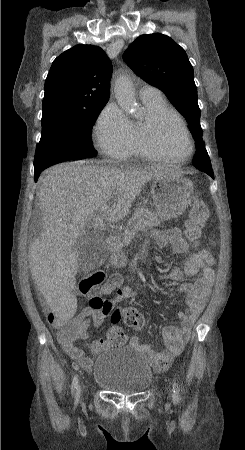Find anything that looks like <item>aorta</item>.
<instances>
[{
    "label": "aorta",
    "mask_w": 245,
    "mask_h": 450,
    "mask_svg": "<svg viewBox=\"0 0 245 450\" xmlns=\"http://www.w3.org/2000/svg\"><path fill=\"white\" fill-rule=\"evenodd\" d=\"M115 97L120 107L128 114L137 116V103L134 98L133 87L127 76H120L115 81Z\"/></svg>",
    "instance_id": "762f6f07"
}]
</instances>
